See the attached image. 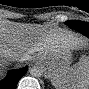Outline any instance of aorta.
<instances>
[{
  "instance_id": "762f6f07",
  "label": "aorta",
  "mask_w": 89,
  "mask_h": 89,
  "mask_svg": "<svg viewBox=\"0 0 89 89\" xmlns=\"http://www.w3.org/2000/svg\"><path fill=\"white\" fill-rule=\"evenodd\" d=\"M29 73L33 77H40L44 73V68L42 65L35 63L29 68Z\"/></svg>"
}]
</instances>
